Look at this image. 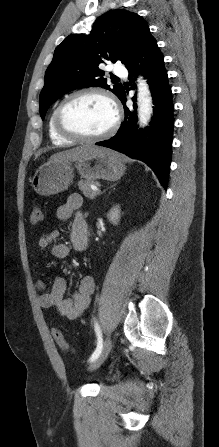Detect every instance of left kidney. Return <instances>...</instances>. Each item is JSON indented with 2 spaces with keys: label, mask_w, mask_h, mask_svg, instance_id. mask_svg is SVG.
Instances as JSON below:
<instances>
[{
  "label": "left kidney",
  "mask_w": 219,
  "mask_h": 447,
  "mask_svg": "<svg viewBox=\"0 0 219 447\" xmlns=\"http://www.w3.org/2000/svg\"><path fill=\"white\" fill-rule=\"evenodd\" d=\"M107 218L109 219V221L114 224L117 225L120 221V208L119 206H115L113 207L110 212L107 214Z\"/></svg>",
  "instance_id": "left-kidney-1"
}]
</instances>
